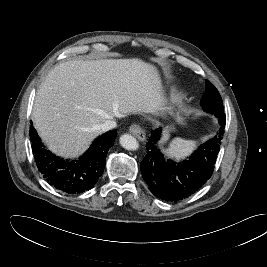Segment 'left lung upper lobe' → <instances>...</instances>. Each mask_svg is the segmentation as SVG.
I'll list each match as a JSON object with an SVG mask.
<instances>
[{"mask_svg": "<svg viewBox=\"0 0 267 267\" xmlns=\"http://www.w3.org/2000/svg\"><path fill=\"white\" fill-rule=\"evenodd\" d=\"M201 106L204 110L211 113L223 111L222 98L213 84L206 80V88L201 99Z\"/></svg>", "mask_w": 267, "mask_h": 267, "instance_id": "obj_1", "label": "left lung upper lobe"}]
</instances>
